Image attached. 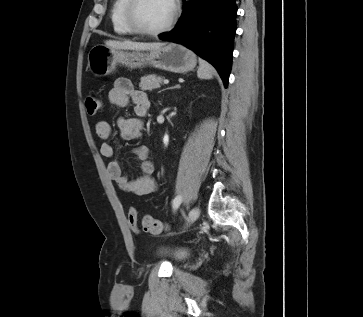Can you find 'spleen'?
<instances>
[{"label":"spleen","instance_id":"1","mask_svg":"<svg viewBox=\"0 0 363 317\" xmlns=\"http://www.w3.org/2000/svg\"><path fill=\"white\" fill-rule=\"evenodd\" d=\"M214 68L205 60L199 58L197 76L200 79H211L214 75Z\"/></svg>","mask_w":363,"mask_h":317}]
</instances>
